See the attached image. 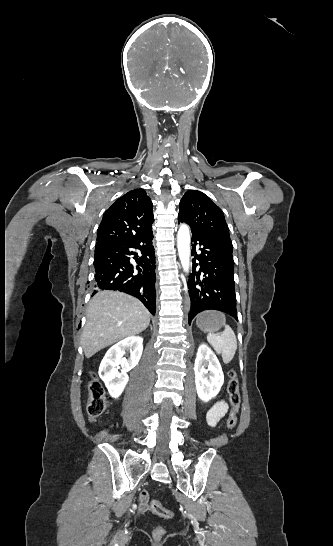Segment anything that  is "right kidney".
I'll return each mask as SVG.
<instances>
[{
    "instance_id": "ca27d5eb",
    "label": "right kidney",
    "mask_w": 333,
    "mask_h": 546,
    "mask_svg": "<svg viewBox=\"0 0 333 546\" xmlns=\"http://www.w3.org/2000/svg\"><path fill=\"white\" fill-rule=\"evenodd\" d=\"M127 349H130L128 359L123 358ZM142 351L143 338L134 336L120 341L106 352L99 367V375L113 398H118L123 392L129 380L127 372L138 364ZM119 365L121 372L117 370Z\"/></svg>"
}]
</instances>
